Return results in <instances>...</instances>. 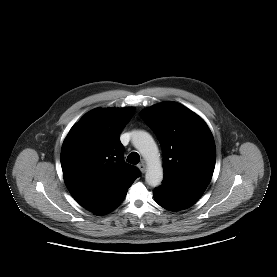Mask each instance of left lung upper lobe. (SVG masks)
Returning <instances> with one entry per match:
<instances>
[{
    "label": "left lung upper lobe",
    "mask_w": 277,
    "mask_h": 277,
    "mask_svg": "<svg viewBox=\"0 0 277 277\" xmlns=\"http://www.w3.org/2000/svg\"><path fill=\"white\" fill-rule=\"evenodd\" d=\"M142 119L156 134L163 151V184L203 193L215 167L216 148L207 124L176 102L144 110Z\"/></svg>",
    "instance_id": "left-lung-upper-lobe-1"
}]
</instances>
